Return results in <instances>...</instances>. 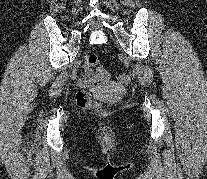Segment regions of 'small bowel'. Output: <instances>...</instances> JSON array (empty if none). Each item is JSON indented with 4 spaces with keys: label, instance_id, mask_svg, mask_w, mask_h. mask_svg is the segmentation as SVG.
I'll return each mask as SVG.
<instances>
[{
    "label": "small bowel",
    "instance_id": "obj_1",
    "mask_svg": "<svg viewBox=\"0 0 207 179\" xmlns=\"http://www.w3.org/2000/svg\"><path fill=\"white\" fill-rule=\"evenodd\" d=\"M100 79L98 78L97 72L92 71L86 64L84 65V73L79 79V84L84 87H93L98 83Z\"/></svg>",
    "mask_w": 207,
    "mask_h": 179
}]
</instances>
